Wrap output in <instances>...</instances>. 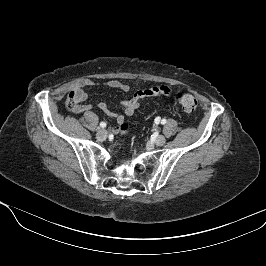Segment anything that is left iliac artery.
Returning <instances> with one entry per match:
<instances>
[{"instance_id": "left-iliac-artery-1", "label": "left iliac artery", "mask_w": 266, "mask_h": 266, "mask_svg": "<svg viewBox=\"0 0 266 266\" xmlns=\"http://www.w3.org/2000/svg\"><path fill=\"white\" fill-rule=\"evenodd\" d=\"M161 124H163V125L166 124V119H162Z\"/></svg>"}]
</instances>
